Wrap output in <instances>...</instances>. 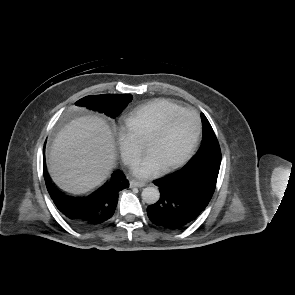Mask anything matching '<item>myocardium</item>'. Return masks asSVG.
I'll list each match as a JSON object with an SVG mask.
<instances>
[{
	"instance_id": "f54148a6",
	"label": "myocardium",
	"mask_w": 295,
	"mask_h": 295,
	"mask_svg": "<svg viewBox=\"0 0 295 295\" xmlns=\"http://www.w3.org/2000/svg\"><path fill=\"white\" fill-rule=\"evenodd\" d=\"M180 114H191V115L194 116L195 122H196L195 134H194L192 142H191L189 148L187 149V151L179 159H177V160L163 166L162 171H170V170L178 168L181 165H183L184 163H186L191 158V156L194 154V152H195V150L197 148L199 139H200L202 125H201V119H200L199 114L195 110L188 109V108H182L180 110H177V111L172 112L171 114H169L160 123V125L149 135V137L146 139L145 145H147L148 143L154 142V141L158 140L159 138H161L163 136V134L165 133L168 125L170 124V122L176 116H178Z\"/></svg>"
}]
</instances>
